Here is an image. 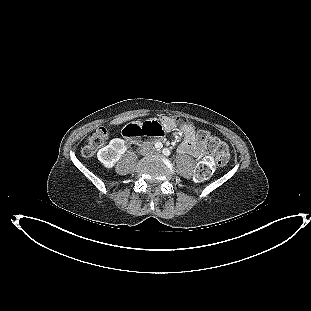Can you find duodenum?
Listing matches in <instances>:
<instances>
[{
	"label": "duodenum",
	"instance_id": "410a0bca",
	"mask_svg": "<svg viewBox=\"0 0 311 311\" xmlns=\"http://www.w3.org/2000/svg\"><path fill=\"white\" fill-rule=\"evenodd\" d=\"M127 139L133 143H140L141 142V139L143 137H148V140L152 137H155L154 135L152 134H149V133H146V134H143L141 132V130H134V131H131L129 133H127Z\"/></svg>",
	"mask_w": 311,
	"mask_h": 311
}]
</instances>
